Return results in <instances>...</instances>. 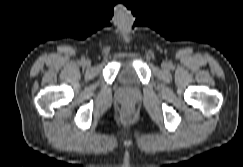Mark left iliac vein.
<instances>
[{"label": "left iliac vein", "mask_w": 243, "mask_h": 167, "mask_svg": "<svg viewBox=\"0 0 243 167\" xmlns=\"http://www.w3.org/2000/svg\"><path fill=\"white\" fill-rule=\"evenodd\" d=\"M168 68H169V65H168V64H166V63L163 64V69H164V70H168Z\"/></svg>", "instance_id": "left-iliac-vein-1"}]
</instances>
